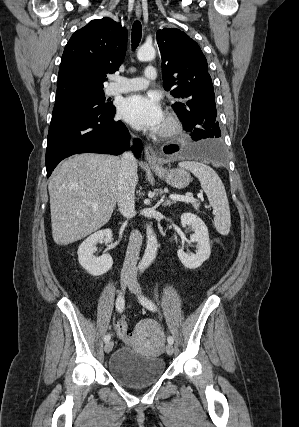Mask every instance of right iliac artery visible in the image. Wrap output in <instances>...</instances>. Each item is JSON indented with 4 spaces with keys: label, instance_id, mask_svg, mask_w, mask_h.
I'll list each match as a JSON object with an SVG mask.
<instances>
[{
    "label": "right iliac artery",
    "instance_id": "82829eb1",
    "mask_svg": "<svg viewBox=\"0 0 299 427\" xmlns=\"http://www.w3.org/2000/svg\"><path fill=\"white\" fill-rule=\"evenodd\" d=\"M124 306H125L124 297L121 294H119L118 297H117V300H116V309H117V311L118 312H122L124 310ZM110 338H111L110 334H107L104 337V341L108 342L110 340Z\"/></svg>",
    "mask_w": 299,
    "mask_h": 427
}]
</instances>
